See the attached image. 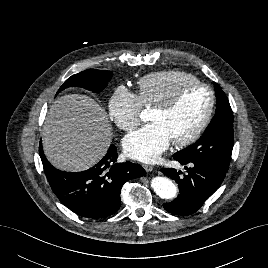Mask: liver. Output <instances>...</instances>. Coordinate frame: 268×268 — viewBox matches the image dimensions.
<instances>
[{
	"mask_svg": "<svg viewBox=\"0 0 268 268\" xmlns=\"http://www.w3.org/2000/svg\"><path fill=\"white\" fill-rule=\"evenodd\" d=\"M42 137L45 156L54 167L79 172L106 154L112 128L105 110L94 99L68 94L50 106Z\"/></svg>",
	"mask_w": 268,
	"mask_h": 268,
	"instance_id": "6515ba94",
	"label": "liver"
}]
</instances>
